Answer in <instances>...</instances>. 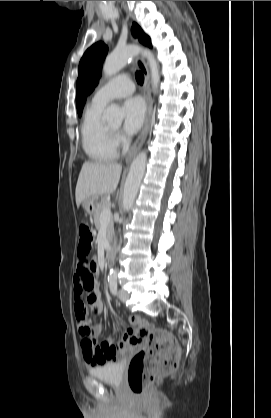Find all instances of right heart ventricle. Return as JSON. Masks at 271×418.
<instances>
[{
  "label": "right heart ventricle",
  "mask_w": 271,
  "mask_h": 418,
  "mask_svg": "<svg viewBox=\"0 0 271 418\" xmlns=\"http://www.w3.org/2000/svg\"><path fill=\"white\" fill-rule=\"evenodd\" d=\"M104 104L92 101L87 107L81 125L82 147L86 155L96 162H107L117 158L116 139L102 121Z\"/></svg>",
  "instance_id": "right-heart-ventricle-1"
}]
</instances>
